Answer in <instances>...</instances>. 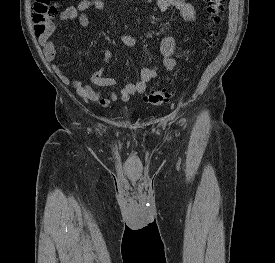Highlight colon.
I'll return each instance as SVG.
<instances>
[{
	"mask_svg": "<svg viewBox=\"0 0 275 263\" xmlns=\"http://www.w3.org/2000/svg\"><path fill=\"white\" fill-rule=\"evenodd\" d=\"M225 0H206L207 36L204 50L211 51L216 43L218 30L224 21ZM57 13L56 4L52 0H35L32 8L34 33L42 37L53 28V19ZM173 91L157 88L147 94L146 100L152 105H162L171 99Z\"/></svg>",
	"mask_w": 275,
	"mask_h": 263,
	"instance_id": "1",
	"label": "colon"
}]
</instances>
